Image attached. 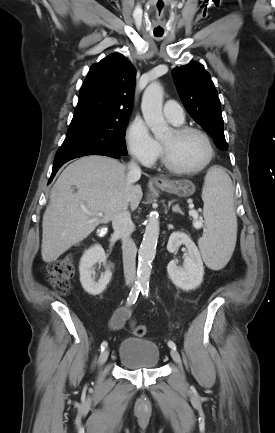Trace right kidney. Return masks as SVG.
Masks as SVG:
<instances>
[{
	"label": "right kidney",
	"mask_w": 275,
	"mask_h": 433,
	"mask_svg": "<svg viewBox=\"0 0 275 433\" xmlns=\"http://www.w3.org/2000/svg\"><path fill=\"white\" fill-rule=\"evenodd\" d=\"M106 259L107 257L102 246L95 244L84 252L80 260V282L84 290L91 295L102 293L111 280L112 273L106 268L105 273L101 275L100 279L95 281L94 266L96 263L106 264Z\"/></svg>",
	"instance_id": "obj_1"
}]
</instances>
